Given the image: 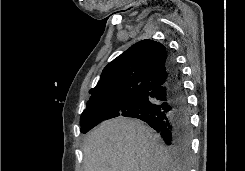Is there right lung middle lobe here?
<instances>
[{
    "mask_svg": "<svg viewBox=\"0 0 245 171\" xmlns=\"http://www.w3.org/2000/svg\"><path fill=\"white\" fill-rule=\"evenodd\" d=\"M132 98L129 95H120L99 101L87 102L80 119V131L86 133L98 123L118 114L122 106Z\"/></svg>",
    "mask_w": 245,
    "mask_h": 171,
    "instance_id": "right-lung-middle-lobe-1",
    "label": "right lung middle lobe"
}]
</instances>
